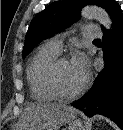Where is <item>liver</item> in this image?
Instances as JSON below:
<instances>
[{"label": "liver", "instance_id": "6515ba94", "mask_svg": "<svg viewBox=\"0 0 123 130\" xmlns=\"http://www.w3.org/2000/svg\"><path fill=\"white\" fill-rule=\"evenodd\" d=\"M76 116V110L65 104L29 103L20 118L18 130H58Z\"/></svg>", "mask_w": 123, "mask_h": 130}]
</instances>
